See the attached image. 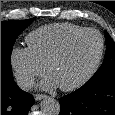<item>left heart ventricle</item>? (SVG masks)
Wrapping results in <instances>:
<instances>
[{
  "label": "left heart ventricle",
  "mask_w": 115,
  "mask_h": 115,
  "mask_svg": "<svg viewBox=\"0 0 115 115\" xmlns=\"http://www.w3.org/2000/svg\"><path fill=\"white\" fill-rule=\"evenodd\" d=\"M100 49V40L95 33L78 38L66 55L50 71L58 85H68L85 75L94 64Z\"/></svg>",
  "instance_id": "b2bd125f"
}]
</instances>
